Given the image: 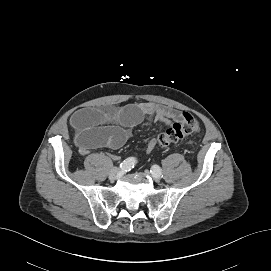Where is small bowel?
Segmentation results:
<instances>
[{"label": "small bowel", "mask_w": 271, "mask_h": 271, "mask_svg": "<svg viewBox=\"0 0 271 271\" xmlns=\"http://www.w3.org/2000/svg\"><path fill=\"white\" fill-rule=\"evenodd\" d=\"M145 117H155L158 122L180 121L182 114L153 103H140L102 111L81 109L75 112L70 123L75 129V143L81 154L101 147L117 149L129 137L130 129ZM153 144H149V152Z\"/></svg>", "instance_id": "1"}]
</instances>
